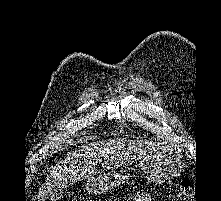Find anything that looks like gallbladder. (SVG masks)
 Returning a JSON list of instances; mask_svg holds the SVG:
<instances>
[{
  "label": "gallbladder",
  "mask_w": 221,
  "mask_h": 201,
  "mask_svg": "<svg viewBox=\"0 0 221 201\" xmlns=\"http://www.w3.org/2000/svg\"><path fill=\"white\" fill-rule=\"evenodd\" d=\"M63 196L62 189H55L50 194L51 201H58Z\"/></svg>",
  "instance_id": "bac80fb5"
}]
</instances>
